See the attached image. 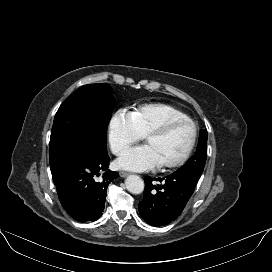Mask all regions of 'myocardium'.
Wrapping results in <instances>:
<instances>
[{
    "label": "myocardium",
    "mask_w": 272,
    "mask_h": 272,
    "mask_svg": "<svg viewBox=\"0 0 272 272\" xmlns=\"http://www.w3.org/2000/svg\"><path fill=\"white\" fill-rule=\"evenodd\" d=\"M183 124H188L192 128V137H191L190 144L187 150L185 151V153L179 159L169 163H161L160 166L162 168H166V169L177 168L182 166L189 159V157L191 156L195 148L196 141H197V136H198L197 126L195 122L190 118L172 119V120L166 121L165 123L161 124L160 126L156 128H153L152 130H150L148 133L145 134V140H147L150 137L165 135L174 127L183 125Z\"/></svg>",
    "instance_id": "myocardium-1"
}]
</instances>
